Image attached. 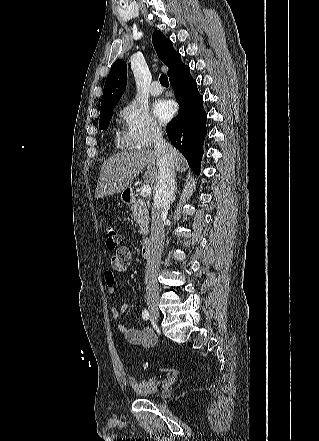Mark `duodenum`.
Listing matches in <instances>:
<instances>
[{"label":"duodenum","mask_w":319,"mask_h":441,"mask_svg":"<svg viewBox=\"0 0 319 441\" xmlns=\"http://www.w3.org/2000/svg\"><path fill=\"white\" fill-rule=\"evenodd\" d=\"M124 200L128 203L133 201V193L130 190H126L123 193ZM154 250V244L151 239H144L141 245V254L145 259H150Z\"/></svg>","instance_id":"1"}]
</instances>
